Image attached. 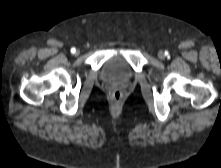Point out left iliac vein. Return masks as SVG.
Masks as SVG:
<instances>
[{
  "label": "left iliac vein",
  "instance_id": "left-iliac-vein-1",
  "mask_svg": "<svg viewBox=\"0 0 221 168\" xmlns=\"http://www.w3.org/2000/svg\"><path fill=\"white\" fill-rule=\"evenodd\" d=\"M158 57H159V59H164L165 58L164 52L163 51H159L158 52Z\"/></svg>",
  "mask_w": 221,
  "mask_h": 168
}]
</instances>
